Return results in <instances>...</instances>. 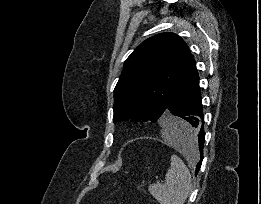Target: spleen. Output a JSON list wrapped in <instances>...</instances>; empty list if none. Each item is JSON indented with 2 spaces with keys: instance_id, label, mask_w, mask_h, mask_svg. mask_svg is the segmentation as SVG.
<instances>
[{
  "instance_id": "obj_1",
  "label": "spleen",
  "mask_w": 261,
  "mask_h": 204,
  "mask_svg": "<svg viewBox=\"0 0 261 204\" xmlns=\"http://www.w3.org/2000/svg\"><path fill=\"white\" fill-rule=\"evenodd\" d=\"M168 120L182 122L181 119L171 116V119H166L164 123L167 124ZM162 137L167 145L182 152L189 153L188 148L191 147L195 149L196 154L198 153L196 138L189 142L178 140L169 132L168 125L163 128ZM191 182V174L184 162L177 155H172L171 166L166 173L165 183L152 184L148 189L160 204H184L190 193Z\"/></svg>"
}]
</instances>
